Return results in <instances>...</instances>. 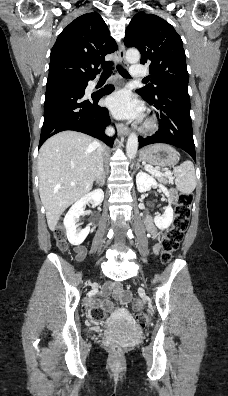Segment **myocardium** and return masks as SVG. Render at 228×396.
Instances as JSON below:
<instances>
[{
    "label": "myocardium",
    "mask_w": 228,
    "mask_h": 396,
    "mask_svg": "<svg viewBox=\"0 0 228 396\" xmlns=\"http://www.w3.org/2000/svg\"><path fill=\"white\" fill-rule=\"evenodd\" d=\"M156 127H157L156 120L153 117H148L145 119L140 129L143 132H150L156 129Z\"/></svg>",
    "instance_id": "1"
}]
</instances>
